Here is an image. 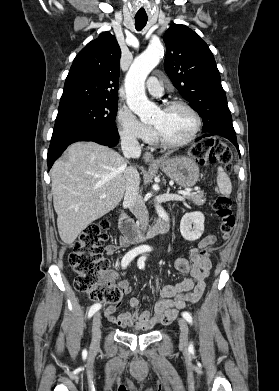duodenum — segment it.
Segmentation results:
<instances>
[{
    "instance_id": "duodenum-1",
    "label": "duodenum",
    "mask_w": 279,
    "mask_h": 391,
    "mask_svg": "<svg viewBox=\"0 0 279 391\" xmlns=\"http://www.w3.org/2000/svg\"><path fill=\"white\" fill-rule=\"evenodd\" d=\"M118 223L123 239L127 244L142 243L159 234L168 232L171 227L170 221L160 218L151 228L143 231L124 213L120 215Z\"/></svg>"
}]
</instances>
